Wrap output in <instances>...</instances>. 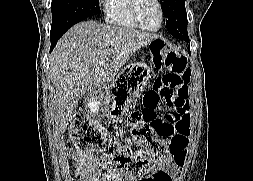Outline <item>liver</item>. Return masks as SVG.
Returning a JSON list of instances; mask_svg holds the SVG:
<instances>
[{
    "mask_svg": "<svg viewBox=\"0 0 253 181\" xmlns=\"http://www.w3.org/2000/svg\"><path fill=\"white\" fill-rule=\"evenodd\" d=\"M157 38L152 33L95 21L70 28L49 55L59 132L67 129L83 95L109 84L135 51Z\"/></svg>",
    "mask_w": 253,
    "mask_h": 181,
    "instance_id": "6515ba94",
    "label": "liver"
}]
</instances>
